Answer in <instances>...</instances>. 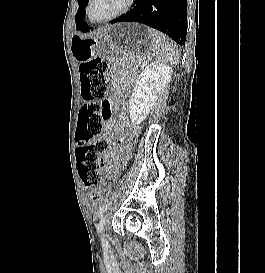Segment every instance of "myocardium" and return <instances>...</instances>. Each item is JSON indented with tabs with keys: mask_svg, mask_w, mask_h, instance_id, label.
Listing matches in <instances>:
<instances>
[{
	"mask_svg": "<svg viewBox=\"0 0 265 273\" xmlns=\"http://www.w3.org/2000/svg\"><path fill=\"white\" fill-rule=\"evenodd\" d=\"M134 1L135 0H126L124 6L121 9H119L117 12L113 13L112 15L107 16L102 19H94L91 16V4H92L93 0H88L87 6H86V15H87V18L93 23L109 22V21L115 20V19L121 17L122 15H124L125 13H127L132 8Z\"/></svg>",
	"mask_w": 265,
	"mask_h": 273,
	"instance_id": "f54148a6",
	"label": "myocardium"
}]
</instances>
